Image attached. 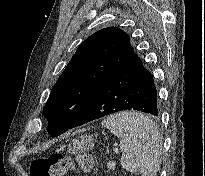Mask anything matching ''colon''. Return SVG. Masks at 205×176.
Masks as SVG:
<instances>
[{"instance_id": "5ec220e1", "label": "colon", "mask_w": 205, "mask_h": 176, "mask_svg": "<svg viewBox=\"0 0 205 176\" xmlns=\"http://www.w3.org/2000/svg\"><path fill=\"white\" fill-rule=\"evenodd\" d=\"M76 166L86 172L91 171L93 169L92 157L87 153H81L75 157L54 153L33 161L29 170L30 176H63Z\"/></svg>"}]
</instances>
